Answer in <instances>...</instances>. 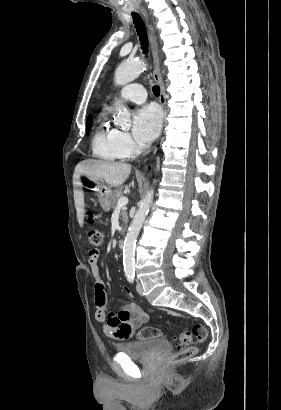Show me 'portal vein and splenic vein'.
<instances>
[{"label": "portal vein and splenic vein", "instance_id": "obj_1", "mask_svg": "<svg viewBox=\"0 0 281 410\" xmlns=\"http://www.w3.org/2000/svg\"><path fill=\"white\" fill-rule=\"evenodd\" d=\"M128 204V198L127 197H121L118 202H117V207L121 208L124 207Z\"/></svg>", "mask_w": 281, "mask_h": 410}]
</instances>
